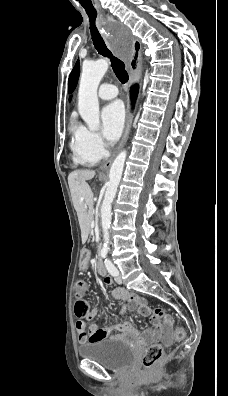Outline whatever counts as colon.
I'll list each match as a JSON object with an SVG mask.
<instances>
[{
    "mask_svg": "<svg viewBox=\"0 0 228 396\" xmlns=\"http://www.w3.org/2000/svg\"><path fill=\"white\" fill-rule=\"evenodd\" d=\"M75 295H76V303H75V314L79 318L77 322V327L79 329H83L86 327L85 317L89 311V306L87 302L88 296V287L87 284L83 280H78L75 284ZM152 316L155 318H162L165 316L164 311L161 308H155L152 310ZM185 331L183 327L177 326L174 331V339L180 341L184 338ZM163 356V349L160 345L154 344L151 345L144 357H143V366L145 369H153L160 359Z\"/></svg>",
    "mask_w": 228,
    "mask_h": 396,
    "instance_id": "5ec220e1",
    "label": "colon"
}]
</instances>
